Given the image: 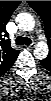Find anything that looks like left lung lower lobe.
<instances>
[{
    "mask_svg": "<svg viewBox=\"0 0 51 101\" xmlns=\"http://www.w3.org/2000/svg\"><path fill=\"white\" fill-rule=\"evenodd\" d=\"M40 63L42 64V66L47 69V70H50V61H49V57H47L46 59L44 60H41Z\"/></svg>",
    "mask_w": 51,
    "mask_h": 101,
    "instance_id": "left-lung-lower-lobe-1",
    "label": "left lung lower lobe"
}]
</instances>
